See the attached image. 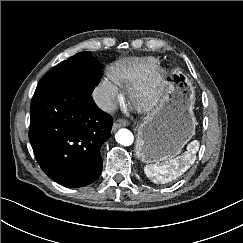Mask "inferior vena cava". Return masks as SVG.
I'll use <instances>...</instances> for the list:
<instances>
[{
	"label": "inferior vena cava",
	"instance_id": "inferior-vena-cava-1",
	"mask_svg": "<svg viewBox=\"0 0 243 243\" xmlns=\"http://www.w3.org/2000/svg\"><path fill=\"white\" fill-rule=\"evenodd\" d=\"M92 97L96 105L105 112H111L116 109V101L115 99L104 92L101 89H95Z\"/></svg>",
	"mask_w": 243,
	"mask_h": 243
}]
</instances>
